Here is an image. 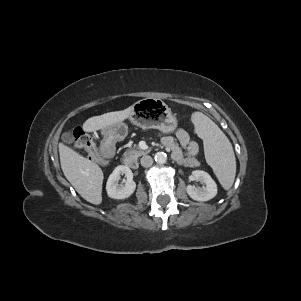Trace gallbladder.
I'll use <instances>...</instances> for the list:
<instances>
[{
	"mask_svg": "<svg viewBox=\"0 0 301 301\" xmlns=\"http://www.w3.org/2000/svg\"><path fill=\"white\" fill-rule=\"evenodd\" d=\"M61 138H62L63 142H65L67 144H71L74 141L73 136L68 132L63 133Z\"/></svg>",
	"mask_w": 301,
	"mask_h": 301,
	"instance_id": "gallbladder-1",
	"label": "gallbladder"
}]
</instances>
